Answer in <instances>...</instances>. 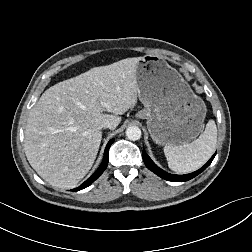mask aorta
Instances as JSON below:
<instances>
[{"mask_svg":"<svg viewBox=\"0 0 252 252\" xmlns=\"http://www.w3.org/2000/svg\"><path fill=\"white\" fill-rule=\"evenodd\" d=\"M126 136L131 141H137L141 138V129L137 126H129L126 129Z\"/></svg>","mask_w":252,"mask_h":252,"instance_id":"1","label":"aorta"}]
</instances>
